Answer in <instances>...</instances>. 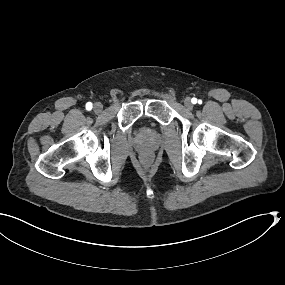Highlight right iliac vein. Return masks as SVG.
I'll return each mask as SVG.
<instances>
[{
  "mask_svg": "<svg viewBox=\"0 0 285 285\" xmlns=\"http://www.w3.org/2000/svg\"><path fill=\"white\" fill-rule=\"evenodd\" d=\"M93 109L96 113H100L103 110V105L100 102H97L94 104Z\"/></svg>",
  "mask_w": 285,
  "mask_h": 285,
  "instance_id": "63e3f726",
  "label": "right iliac vein"
}]
</instances>
